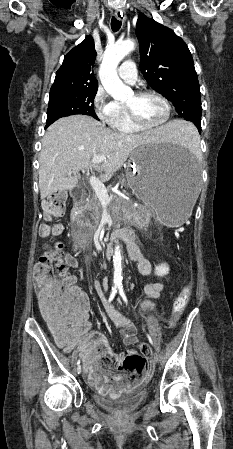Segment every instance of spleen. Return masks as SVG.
I'll list each match as a JSON object with an SVG mask.
<instances>
[{
	"label": "spleen",
	"mask_w": 233,
	"mask_h": 449,
	"mask_svg": "<svg viewBox=\"0 0 233 449\" xmlns=\"http://www.w3.org/2000/svg\"><path fill=\"white\" fill-rule=\"evenodd\" d=\"M178 138V142L187 148L192 147L196 149L198 146L199 139L193 124L183 125V131L181 134H178Z\"/></svg>",
	"instance_id": "obj_1"
}]
</instances>
